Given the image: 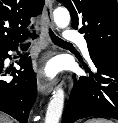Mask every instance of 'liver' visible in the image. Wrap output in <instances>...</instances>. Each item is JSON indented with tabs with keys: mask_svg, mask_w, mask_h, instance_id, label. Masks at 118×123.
<instances>
[{
	"mask_svg": "<svg viewBox=\"0 0 118 123\" xmlns=\"http://www.w3.org/2000/svg\"><path fill=\"white\" fill-rule=\"evenodd\" d=\"M0 123H13V122L7 115L0 112Z\"/></svg>",
	"mask_w": 118,
	"mask_h": 123,
	"instance_id": "1",
	"label": "liver"
}]
</instances>
